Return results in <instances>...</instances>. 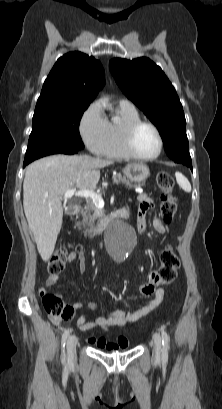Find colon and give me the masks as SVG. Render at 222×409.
I'll return each instance as SVG.
<instances>
[{
  "mask_svg": "<svg viewBox=\"0 0 222 409\" xmlns=\"http://www.w3.org/2000/svg\"><path fill=\"white\" fill-rule=\"evenodd\" d=\"M157 186L163 193L160 205V214L164 220H170L177 211L178 202L172 195L175 187V181L168 172H161L157 176ZM68 258V251L65 247H60L53 252L48 261V271L50 274L62 272ZM180 267V260L174 250L168 246L160 254L158 269L162 270L161 279L164 280L163 286L171 284L176 278ZM151 275V274H150ZM42 304L45 311L61 319L68 320L74 314L72 306L67 304L61 296L53 293H43Z\"/></svg>",
  "mask_w": 222,
  "mask_h": 409,
  "instance_id": "colon-1",
  "label": "colon"
}]
</instances>
